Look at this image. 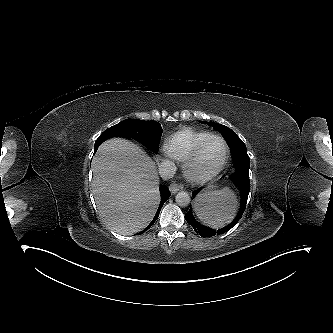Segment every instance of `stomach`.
Returning a JSON list of instances; mask_svg holds the SVG:
<instances>
[{
	"label": "stomach",
	"instance_id": "1",
	"mask_svg": "<svg viewBox=\"0 0 333 333\" xmlns=\"http://www.w3.org/2000/svg\"><path fill=\"white\" fill-rule=\"evenodd\" d=\"M214 189V187H212L210 190H213ZM207 192H210V191H206L205 193H207Z\"/></svg>",
	"mask_w": 333,
	"mask_h": 333
}]
</instances>
